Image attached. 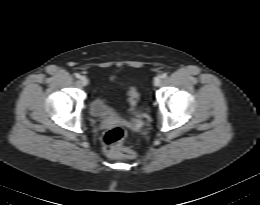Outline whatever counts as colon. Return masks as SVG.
Segmentation results:
<instances>
[{
  "instance_id": "1",
  "label": "colon",
  "mask_w": 260,
  "mask_h": 205,
  "mask_svg": "<svg viewBox=\"0 0 260 205\" xmlns=\"http://www.w3.org/2000/svg\"><path fill=\"white\" fill-rule=\"evenodd\" d=\"M128 102L135 108L139 102V93L135 86L128 90ZM126 131L119 126L108 130L103 137L105 151L112 158H134L135 152L124 147Z\"/></svg>"
}]
</instances>
